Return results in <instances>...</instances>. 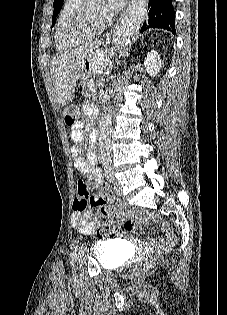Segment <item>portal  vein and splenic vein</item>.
Masks as SVG:
<instances>
[{"label":"portal vein and splenic vein","instance_id":"1","mask_svg":"<svg viewBox=\"0 0 227 315\" xmlns=\"http://www.w3.org/2000/svg\"><path fill=\"white\" fill-rule=\"evenodd\" d=\"M91 91H92L93 94L96 92V90H95V89H92V88H91Z\"/></svg>","mask_w":227,"mask_h":315}]
</instances>
